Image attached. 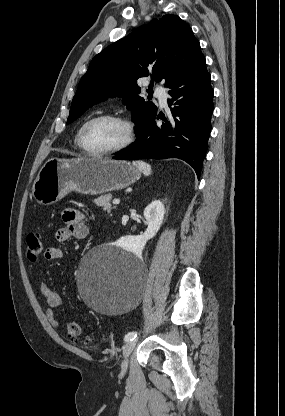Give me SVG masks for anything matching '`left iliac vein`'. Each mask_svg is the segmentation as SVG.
<instances>
[{
    "label": "left iliac vein",
    "instance_id": "1",
    "mask_svg": "<svg viewBox=\"0 0 285 416\" xmlns=\"http://www.w3.org/2000/svg\"><path fill=\"white\" fill-rule=\"evenodd\" d=\"M135 345H136V341L135 340H130L124 346V350H123V360H122V363H121V370L123 372L127 369L128 357L130 356V354L132 353L133 349L135 348Z\"/></svg>",
    "mask_w": 285,
    "mask_h": 416
}]
</instances>
